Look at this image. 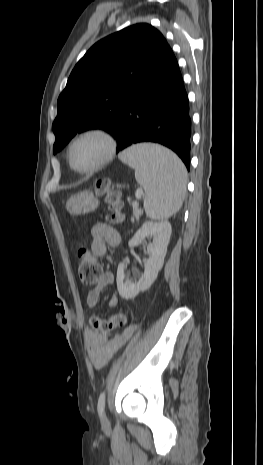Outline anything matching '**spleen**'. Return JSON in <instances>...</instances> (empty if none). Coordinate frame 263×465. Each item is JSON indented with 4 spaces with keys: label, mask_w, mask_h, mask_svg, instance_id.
<instances>
[{
    "label": "spleen",
    "mask_w": 263,
    "mask_h": 465,
    "mask_svg": "<svg viewBox=\"0 0 263 465\" xmlns=\"http://www.w3.org/2000/svg\"><path fill=\"white\" fill-rule=\"evenodd\" d=\"M120 159L135 170L136 181L146 192L144 209L154 220H166L183 204L187 171L172 151L155 144L132 146Z\"/></svg>",
    "instance_id": "1"
}]
</instances>
